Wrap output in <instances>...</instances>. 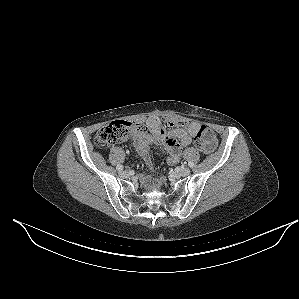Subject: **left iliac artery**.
Segmentation results:
<instances>
[{"label":"left iliac artery","mask_w":299,"mask_h":299,"mask_svg":"<svg viewBox=\"0 0 299 299\" xmlns=\"http://www.w3.org/2000/svg\"><path fill=\"white\" fill-rule=\"evenodd\" d=\"M188 166H189L190 168H192V167L194 166V163H193L192 161H190V162L188 163Z\"/></svg>","instance_id":"left-iliac-artery-1"}]
</instances>
